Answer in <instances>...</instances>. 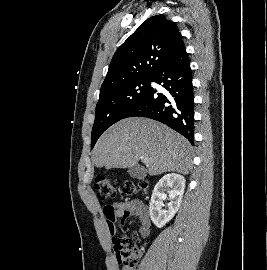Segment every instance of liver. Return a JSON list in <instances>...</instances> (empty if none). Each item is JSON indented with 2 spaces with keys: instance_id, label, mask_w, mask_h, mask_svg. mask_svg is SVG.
Masks as SVG:
<instances>
[{
  "instance_id": "obj_1",
  "label": "liver",
  "mask_w": 267,
  "mask_h": 270,
  "mask_svg": "<svg viewBox=\"0 0 267 270\" xmlns=\"http://www.w3.org/2000/svg\"><path fill=\"white\" fill-rule=\"evenodd\" d=\"M189 141L167 126L147 118L122 119L107 129L93 149L96 167L130 168L144 157L149 175L188 174L192 166Z\"/></svg>"
}]
</instances>
